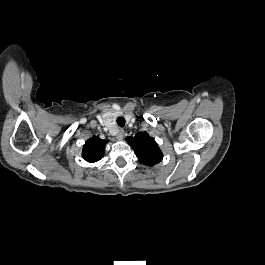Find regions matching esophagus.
Here are the masks:
<instances>
[{
    "mask_svg": "<svg viewBox=\"0 0 265 265\" xmlns=\"http://www.w3.org/2000/svg\"><path fill=\"white\" fill-rule=\"evenodd\" d=\"M124 132H125L124 129H122V128L118 129L117 134H116L118 140H122L123 139Z\"/></svg>",
    "mask_w": 265,
    "mask_h": 265,
    "instance_id": "esophagus-1",
    "label": "esophagus"
}]
</instances>
